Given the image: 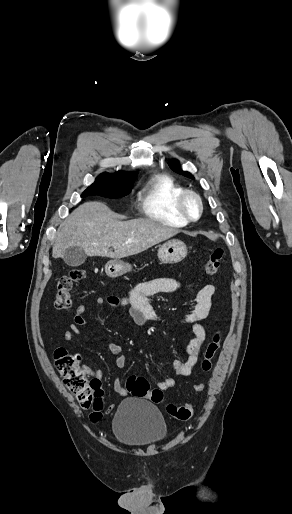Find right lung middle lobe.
<instances>
[{
	"label": "right lung middle lobe",
	"mask_w": 292,
	"mask_h": 514,
	"mask_svg": "<svg viewBox=\"0 0 292 514\" xmlns=\"http://www.w3.org/2000/svg\"><path fill=\"white\" fill-rule=\"evenodd\" d=\"M133 182L134 180L120 181L96 178V181L82 193L81 197L94 195L106 198L123 197L130 193Z\"/></svg>",
	"instance_id": "right-lung-middle-lobe-1"
}]
</instances>
